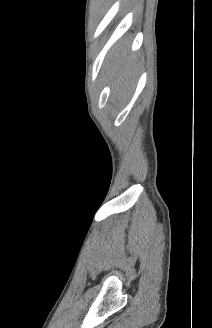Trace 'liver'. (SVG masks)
<instances>
[{
	"label": "liver",
	"instance_id": "6515ba94",
	"mask_svg": "<svg viewBox=\"0 0 212 328\" xmlns=\"http://www.w3.org/2000/svg\"><path fill=\"white\" fill-rule=\"evenodd\" d=\"M138 72V62L135 56L129 55V46L119 43L110 53L107 64V74L113 81V88L119 98L129 94Z\"/></svg>",
	"mask_w": 212,
	"mask_h": 328
}]
</instances>
